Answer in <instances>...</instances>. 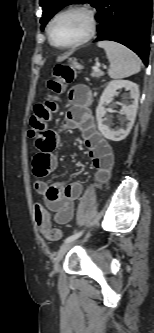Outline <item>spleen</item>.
Returning <instances> with one entry per match:
<instances>
[{"label": "spleen", "mask_w": 154, "mask_h": 333, "mask_svg": "<svg viewBox=\"0 0 154 333\" xmlns=\"http://www.w3.org/2000/svg\"><path fill=\"white\" fill-rule=\"evenodd\" d=\"M97 45L106 52L110 62L108 74L112 79L126 78L140 71V58L124 45L113 41H100Z\"/></svg>", "instance_id": "1"}]
</instances>
